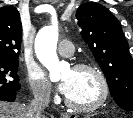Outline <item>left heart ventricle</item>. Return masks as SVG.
<instances>
[{"label": "left heart ventricle", "mask_w": 133, "mask_h": 118, "mask_svg": "<svg viewBox=\"0 0 133 118\" xmlns=\"http://www.w3.org/2000/svg\"><path fill=\"white\" fill-rule=\"evenodd\" d=\"M62 79H69L70 91L66 97L76 105H90L100 96V84L96 75L90 70L66 71Z\"/></svg>", "instance_id": "obj_1"}]
</instances>
